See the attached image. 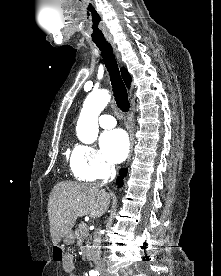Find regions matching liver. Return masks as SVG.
<instances>
[{"label": "liver", "mask_w": 221, "mask_h": 276, "mask_svg": "<svg viewBox=\"0 0 221 276\" xmlns=\"http://www.w3.org/2000/svg\"><path fill=\"white\" fill-rule=\"evenodd\" d=\"M110 204V194L96 184L60 182L48 200V216L52 243L58 244L71 232L78 217H101Z\"/></svg>", "instance_id": "6515ba94"}]
</instances>
